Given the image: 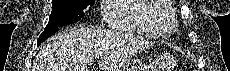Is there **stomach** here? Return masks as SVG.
<instances>
[{
  "label": "stomach",
  "mask_w": 230,
  "mask_h": 71,
  "mask_svg": "<svg viewBox=\"0 0 230 71\" xmlns=\"http://www.w3.org/2000/svg\"><path fill=\"white\" fill-rule=\"evenodd\" d=\"M175 65V60L172 55L168 53L162 54L157 61V68L158 71H171V69ZM119 71H144L139 64H126Z\"/></svg>",
  "instance_id": "1"
}]
</instances>
